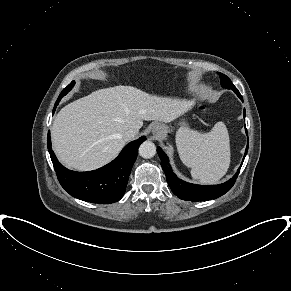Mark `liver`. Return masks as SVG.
<instances>
[{"label": "liver", "instance_id": "obj_1", "mask_svg": "<svg viewBox=\"0 0 291 291\" xmlns=\"http://www.w3.org/2000/svg\"><path fill=\"white\" fill-rule=\"evenodd\" d=\"M192 104L149 95L132 86L100 89L65 107L51 128L52 146L68 168L89 171L110 162L125 144L123 133L143 121L169 123Z\"/></svg>", "mask_w": 291, "mask_h": 291}]
</instances>
